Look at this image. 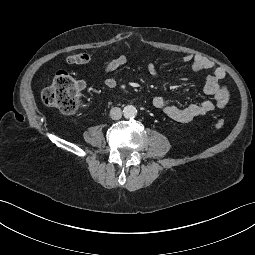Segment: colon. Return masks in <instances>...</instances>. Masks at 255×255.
<instances>
[{"label": "colon", "mask_w": 255, "mask_h": 255, "mask_svg": "<svg viewBox=\"0 0 255 255\" xmlns=\"http://www.w3.org/2000/svg\"><path fill=\"white\" fill-rule=\"evenodd\" d=\"M41 99L45 105L65 115H73L81 111L79 82L64 70L54 74L51 84L42 90ZM215 125L217 128H222L224 122L219 119Z\"/></svg>", "instance_id": "colon-1"}]
</instances>
